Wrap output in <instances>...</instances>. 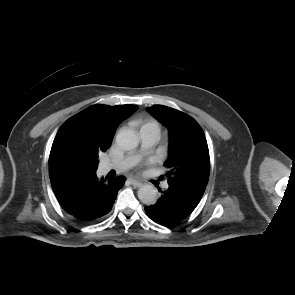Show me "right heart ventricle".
<instances>
[{
	"instance_id": "e07e8e85",
	"label": "right heart ventricle",
	"mask_w": 295,
	"mask_h": 295,
	"mask_svg": "<svg viewBox=\"0 0 295 295\" xmlns=\"http://www.w3.org/2000/svg\"><path fill=\"white\" fill-rule=\"evenodd\" d=\"M141 129H148L153 131L157 136L159 137L161 134V126L160 124L152 118L147 119L143 125L141 126Z\"/></svg>"
}]
</instances>
